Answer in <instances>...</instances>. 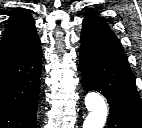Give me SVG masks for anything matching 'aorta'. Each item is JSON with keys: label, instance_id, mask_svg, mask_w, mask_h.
Wrapping results in <instances>:
<instances>
[{"label": "aorta", "instance_id": "1", "mask_svg": "<svg viewBox=\"0 0 142 128\" xmlns=\"http://www.w3.org/2000/svg\"><path fill=\"white\" fill-rule=\"evenodd\" d=\"M84 101L89 113L84 120L83 128H103L108 112L103 96L97 92H90L85 96Z\"/></svg>", "mask_w": 142, "mask_h": 128}]
</instances>
